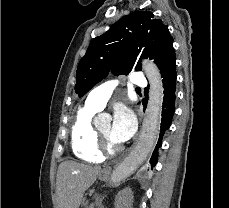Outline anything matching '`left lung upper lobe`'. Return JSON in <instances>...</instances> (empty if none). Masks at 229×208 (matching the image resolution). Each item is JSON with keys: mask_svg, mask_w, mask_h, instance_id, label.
<instances>
[{"mask_svg": "<svg viewBox=\"0 0 229 208\" xmlns=\"http://www.w3.org/2000/svg\"><path fill=\"white\" fill-rule=\"evenodd\" d=\"M138 55L154 59L161 74L176 60L173 38L168 27L155 19L152 12L135 11L118 20L107 32L90 43L77 68L75 92L85 95L95 84L113 74H125L141 70Z\"/></svg>", "mask_w": 229, "mask_h": 208, "instance_id": "5c2ea615", "label": "left lung upper lobe"}]
</instances>
